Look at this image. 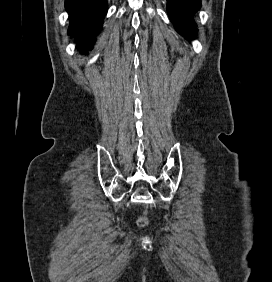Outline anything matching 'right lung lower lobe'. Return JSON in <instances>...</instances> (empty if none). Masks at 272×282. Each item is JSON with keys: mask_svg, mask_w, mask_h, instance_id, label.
<instances>
[{"mask_svg": "<svg viewBox=\"0 0 272 282\" xmlns=\"http://www.w3.org/2000/svg\"><path fill=\"white\" fill-rule=\"evenodd\" d=\"M70 15L69 33L75 36L79 50L92 49L93 39L102 28L107 12L106 0H65Z\"/></svg>", "mask_w": 272, "mask_h": 282, "instance_id": "1", "label": "right lung lower lobe"}]
</instances>
